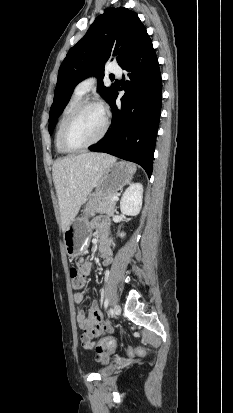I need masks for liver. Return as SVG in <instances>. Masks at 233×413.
Listing matches in <instances>:
<instances>
[{
	"mask_svg": "<svg viewBox=\"0 0 233 413\" xmlns=\"http://www.w3.org/2000/svg\"><path fill=\"white\" fill-rule=\"evenodd\" d=\"M115 158L104 153H83L57 159L53 180L58 197L61 227L64 232L95 188L108 164Z\"/></svg>",
	"mask_w": 233,
	"mask_h": 413,
	"instance_id": "1",
	"label": "liver"
}]
</instances>
